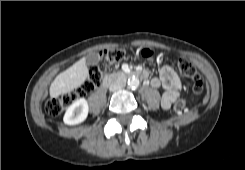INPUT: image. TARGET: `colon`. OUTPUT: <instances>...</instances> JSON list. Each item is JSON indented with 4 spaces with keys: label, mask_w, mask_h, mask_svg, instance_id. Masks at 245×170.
<instances>
[{
    "label": "colon",
    "mask_w": 245,
    "mask_h": 170,
    "mask_svg": "<svg viewBox=\"0 0 245 170\" xmlns=\"http://www.w3.org/2000/svg\"><path fill=\"white\" fill-rule=\"evenodd\" d=\"M122 49L114 48L99 53L100 64L96 69L90 71L89 79L78 88L71 90L57 98L49 100L46 104V111L50 116H59L73 102L84 97L86 93L98 87L102 81V74L108 72L113 66L120 62L124 57ZM145 58H150L152 52L144 49L141 52ZM178 69L182 75L192 80V91L195 95H200L204 90V83L194 65L185 58L178 60ZM186 103L184 99H177L175 109L182 111Z\"/></svg>",
    "instance_id": "1"
}]
</instances>
